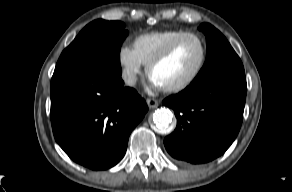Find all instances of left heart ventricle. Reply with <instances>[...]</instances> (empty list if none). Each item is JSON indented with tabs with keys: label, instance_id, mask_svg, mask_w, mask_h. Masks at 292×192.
I'll return each instance as SVG.
<instances>
[{
	"label": "left heart ventricle",
	"instance_id": "b2bd125f",
	"mask_svg": "<svg viewBox=\"0 0 292 192\" xmlns=\"http://www.w3.org/2000/svg\"><path fill=\"white\" fill-rule=\"evenodd\" d=\"M201 59V46L194 38H186L179 43L174 52L156 65L150 78L161 87L174 85L189 77Z\"/></svg>",
	"mask_w": 292,
	"mask_h": 192
}]
</instances>
